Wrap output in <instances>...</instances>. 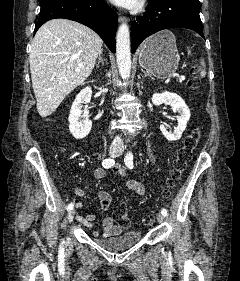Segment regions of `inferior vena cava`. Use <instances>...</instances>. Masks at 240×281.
<instances>
[{
    "mask_svg": "<svg viewBox=\"0 0 240 281\" xmlns=\"http://www.w3.org/2000/svg\"><path fill=\"white\" fill-rule=\"evenodd\" d=\"M113 143H114V144H120V143H122L121 137H120L119 135H117V136L114 138Z\"/></svg>",
    "mask_w": 240,
    "mask_h": 281,
    "instance_id": "obj_1",
    "label": "inferior vena cava"
}]
</instances>
